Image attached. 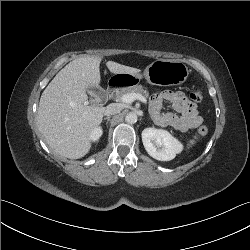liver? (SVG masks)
<instances>
[{"label":"liver","mask_w":250,"mask_h":250,"mask_svg":"<svg viewBox=\"0 0 250 250\" xmlns=\"http://www.w3.org/2000/svg\"><path fill=\"white\" fill-rule=\"evenodd\" d=\"M101 57L85 56L68 63L43 91L38 127L48 145L70 159L85 156L91 148V132L102 122L105 107L88 106L87 89L100 87ZM113 74H135L139 69L108 61Z\"/></svg>","instance_id":"liver-1"}]
</instances>
